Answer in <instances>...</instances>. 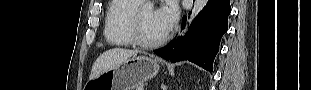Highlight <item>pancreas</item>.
Listing matches in <instances>:
<instances>
[{
	"label": "pancreas",
	"mask_w": 311,
	"mask_h": 90,
	"mask_svg": "<svg viewBox=\"0 0 311 90\" xmlns=\"http://www.w3.org/2000/svg\"><path fill=\"white\" fill-rule=\"evenodd\" d=\"M136 90H142V86H139Z\"/></svg>",
	"instance_id": "1"
}]
</instances>
